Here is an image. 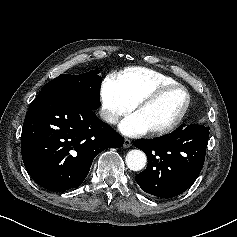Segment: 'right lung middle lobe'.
I'll return each instance as SVG.
<instances>
[{
  "instance_id": "obj_1",
  "label": "right lung middle lobe",
  "mask_w": 237,
  "mask_h": 237,
  "mask_svg": "<svg viewBox=\"0 0 237 237\" xmlns=\"http://www.w3.org/2000/svg\"><path fill=\"white\" fill-rule=\"evenodd\" d=\"M99 70L80 75L61 74L43 86L40 93L60 94L73 98L81 104L96 110L100 106Z\"/></svg>"
}]
</instances>
